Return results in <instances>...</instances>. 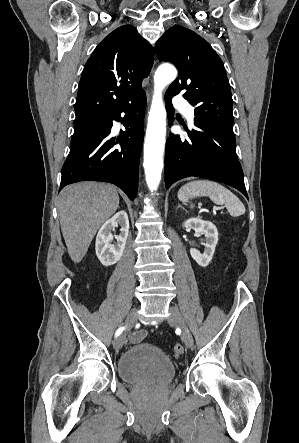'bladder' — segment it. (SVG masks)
<instances>
[{"label":"bladder","instance_id":"obj_1","mask_svg":"<svg viewBox=\"0 0 299 443\" xmlns=\"http://www.w3.org/2000/svg\"><path fill=\"white\" fill-rule=\"evenodd\" d=\"M117 373L121 380L131 385H159L174 378L175 366L157 346L140 343L119 358Z\"/></svg>","mask_w":299,"mask_h":443}]
</instances>
